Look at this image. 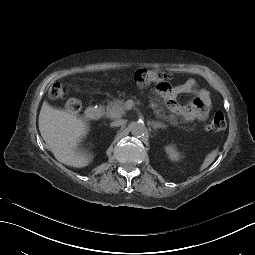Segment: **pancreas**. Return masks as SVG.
I'll return each instance as SVG.
<instances>
[{
	"label": "pancreas",
	"instance_id": "obj_1",
	"mask_svg": "<svg viewBox=\"0 0 255 255\" xmlns=\"http://www.w3.org/2000/svg\"><path fill=\"white\" fill-rule=\"evenodd\" d=\"M154 108V106H152ZM158 118L168 119L173 125H177V121L173 115L167 117L160 115V110H155ZM125 114L124 103L121 100H113L108 102L106 106V116L111 119H119Z\"/></svg>",
	"mask_w": 255,
	"mask_h": 255
}]
</instances>
